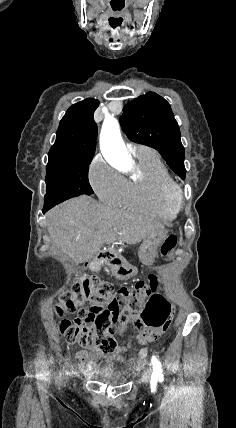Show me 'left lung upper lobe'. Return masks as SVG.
I'll use <instances>...</instances> for the list:
<instances>
[{
	"label": "left lung upper lobe",
	"mask_w": 236,
	"mask_h": 428,
	"mask_svg": "<svg viewBox=\"0 0 236 428\" xmlns=\"http://www.w3.org/2000/svg\"><path fill=\"white\" fill-rule=\"evenodd\" d=\"M120 123L127 137L135 143L155 148L171 169L185 179L184 147L170 104L154 92L130 101Z\"/></svg>",
	"instance_id": "obj_1"
}]
</instances>
